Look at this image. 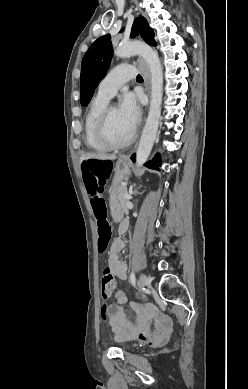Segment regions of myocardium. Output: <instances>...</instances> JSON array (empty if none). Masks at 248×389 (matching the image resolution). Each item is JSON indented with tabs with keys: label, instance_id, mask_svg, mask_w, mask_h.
<instances>
[{
	"label": "myocardium",
	"instance_id": "1",
	"mask_svg": "<svg viewBox=\"0 0 248 389\" xmlns=\"http://www.w3.org/2000/svg\"><path fill=\"white\" fill-rule=\"evenodd\" d=\"M113 107H115V105L107 104L103 109L98 122L96 135L98 140L108 149H120L132 143V141L136 136V131L135 129H133L131 134L123 141H116L110 136L109 117H110V111Z\"/></svg>",
	"mask_w": 248,
	"mask_h": 389
}]
</instances>
